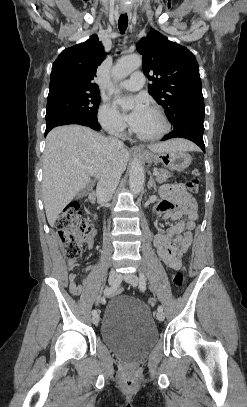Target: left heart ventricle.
I'll return each instance as SVG.
<instances>
[{"instance_id":"1","label":"left heart ventricle","mask_w":247,"mask_h":407,"mask_svg":"<svg viewBox=\"0 0 247 407\" xmlns=\"http://www.w3.org/2000/svg\"><path fill=\"white\" fill-rule=\"evenodd\" d=\"M134 130L143 136L157 135L163 128L160 118L151 110H147L139 123L133 127Z\"/></svg>"}]
</instances>
